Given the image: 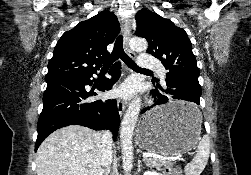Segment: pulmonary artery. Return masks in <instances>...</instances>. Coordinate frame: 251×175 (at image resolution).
<instances>
[{
  "label": "pulmonary artery",
  "mask_w": 251,
  "mask_h": 175,
  "mask_svg": "<svg viewBox=\"0 0 251 175\" xmlns=\"http://www.w3.org/2000/svg\"><path fill=\"white\" fill-rule=\"evenodd\" d=\"M138 67H145V70H156V75H159L160 79H167L168 75L164 74V65H161L159 58H152L148 52H140L138 56Z\"/></svg>",
  "instance_id": "obj_1"
}]
</instances>
